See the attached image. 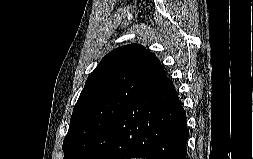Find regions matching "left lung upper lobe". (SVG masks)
Returning a JSON list of instances; mask_svg holds the SVG:
<instances>
[{
    "instance_id": "1",
    "label": "left lung upper lobe",
    "mask_w": 253,
    "mask_h": 159,
    "mask_svg": "<svg viewBox=\"0 0 253 159\" xmlns=\"http://www.w3.org/2000/svg\"><path fill=\"white\" fill-rule=\"evenodd\" d=\"M164 72L142 45L108 53L89 75L74 106L62 149L64 159H93L122 110Z\"/></svg>"
}]
</instances>
